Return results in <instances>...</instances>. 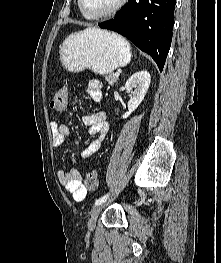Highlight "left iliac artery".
Wrapping results in <instances>:
<instances>
[{"label":"left iliac artery","mask_w":221,"mask_h":263,"mask_svg":"<svg viewBox=\"0 0 221 263\" xmlns=\"http://www.w3.org/2000/svg\"><path fill=\"white\" fill-rule=\"evenodd\" d=\"M108 197H109V194L107 193L106 195H104L101 198H99L98 200H96L95 205L104 203L107 200Z\"/></svg>","instance_id":"44dca946"}]
</instances>
